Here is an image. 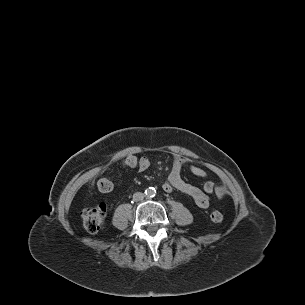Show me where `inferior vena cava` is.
<instances>
[{"mask_svg":"<svg viewBox=\"0 0 305 305\" xmlns=\"http://www.w3.org/2000/svg\"><path fill=\"white\" fill-rule=\"evenodd\" d=\"M144 197H145V195L142 192H136V193L133 194V200L136 201V202L143 200Z\"/></svg>","mask_w":305,"mask_h":305,"instance_id":"1","label":"inferior vena cava"}]
</instances>
